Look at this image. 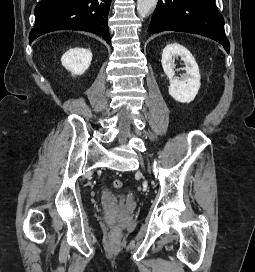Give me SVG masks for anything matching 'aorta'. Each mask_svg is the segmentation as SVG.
Instances as JSON below:
<instances>
[{"mask_svg": "<svg viewBox=\"0 0 255 272\" xmlns=\"http://www.w3.org/2000/svg\"><path fill=\"white\" fill-rule=\"evenodd\" d=\"M156 4L157 0H137V11L141 17H146Z\"/></svg>", "mask_w": 255, "mask_h": 272, "instance_id": "obj_1", "label": "aorta"}]
</instances>
